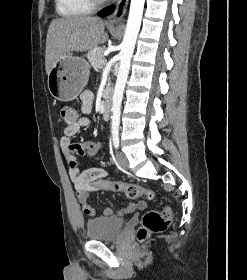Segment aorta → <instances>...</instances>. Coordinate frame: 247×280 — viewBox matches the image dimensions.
I'll return each instance as SVG.
<instances>
[{"instance_id": "obj_1", "label": "aorta", "mask_w": 247, "mask_h": 280, "mask_svg": "<svg viewBox=\"0 0 247 280\" xmlns=\"http://www.w3.org/2000/svg\"><path fill=\"white\" fill-rule=\"evenodd\" d=\"M144 3L145 0H131L130 4L129 17L120 51V67L112 99V135H118L119 133L123 92L130 69V61L140 30Z\"/></svg>"}]
</instances>
